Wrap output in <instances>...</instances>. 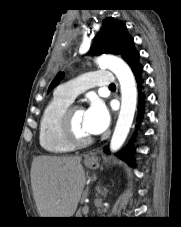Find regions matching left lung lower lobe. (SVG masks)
Returning <instances> with one entry per match:
<instances>
[{
	"label": "left lung lower lobe",
	"mask_w": 181,
	"mask_h": 227,
	"mask_svg": "<svg viewBox=\"0 0 181 227\" xmlns=\"http://www.w3.org/2000/svg\"><path fill=\"white\" fill-rule=\"evenodd\" d=\"M139 58V53L133 48L127 53L125 56L124 60L130 65L135 77H136V82L138 86V92H139V106H138V118H141L143 113H144V93H142V84H143V79L141 77L142 74V66L139 64L138 61ZM105 153H108L109 150L106 147L104 150ZM117 156L123 160H125L128 164H132V154H131V148L130 146L126 148L125 150L119 152Z\"/></svg>",
	"instance_id": "1"
}]
</instances>
